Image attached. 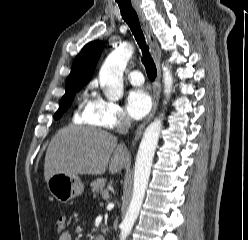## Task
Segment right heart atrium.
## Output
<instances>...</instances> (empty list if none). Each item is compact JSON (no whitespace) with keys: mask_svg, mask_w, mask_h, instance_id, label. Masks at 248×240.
Masks as SVG:
<instances>
[{"mask_svg":"<svg viewBox=\"0 0 248 240\" xmlns=\"http://www.w3.org/2000/svg\"><path fill=\"white\" fill-rule=\"evenodd\" d=\"M87 123L104 129L127 127L130 120L121 106L95 95L84 112Z\"/></svg>","mask_w":248,"mask_h":240,"instance_id":"1","label":"right heart atrium"}]
</instances>
